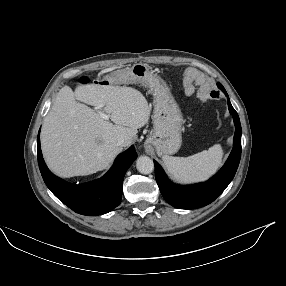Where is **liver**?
Returning a JSON list of instances; mask_svg holds the SVG:
<instances>
[{"label":"liver","instance_id":"6515ba94","mask_svg":"<svg viewBox=\"0 0 286 286\" xmlns=\"http://www.w3.org/2000/svg\"><path fill=\"white\" fill-rule=\"evenodd\" d=\"M104 104L111 123L93 109ZM150 109L143 94L131 87L85 84L75 91L64 86L44 119L41 147L48 167L62 177L89 175L106 169L121 152L119 138L126 146L137 129L149 120Z\"/></svg>","mask_w":286,"mask_h":286}]
</instances>
